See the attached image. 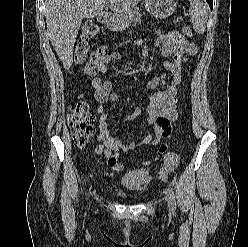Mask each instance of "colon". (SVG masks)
<instances>
[{
  "mask_svg": "<svg viewBox=\"0 0 248 247\" xmlns=\"http://www.w3.org/2000/svg\"><path fill=\"white\" fill-rule=\"evenodd\" d=\"M182 32L186 36H191L192 34V30L188 26L183 27ZM98 33L99 26L96 23L92 21L85 23L74 52L75 63L79 65L84 64L83 72L88 76H93L99 71L100 61L105 53L104 48H100L86 62L90 51V41L96 37ZM67 120L76 145L80 147L85 146L95 131V118L89 113L87 105L84 102L75 104V106L70 109Z\"/></svg>",
  "mask_w": 248,
  "mask_h": 247,
  "instance_id": "5ec220e1",
  "label": "colon"
}]
</instances>
